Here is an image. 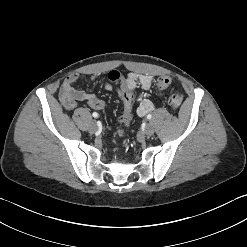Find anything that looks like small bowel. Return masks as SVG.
Returning <instances> with one entry per match:
<instances>
[{
    "mask_svg": "<svg viewBox=\"0 0 247 247\" xmlns=\"http://www.w3.org/2000/svg\"><path fill=\"white\" fill-rule=\"evenodd\" d=\"M80 76L76 73L70 74L65 78L60 88L59 96L66 109L72 110L77 102L85 101L91 108L101 110L104 108V102L94 94H88L83 90L75 88L73 85L79 80ZM95 79V77H92ZM125 81L131 86L133 94V107H135L138 116H144L154 108L153 102L149 99L147 92L151 88L152 78L145 74L130 73ZM108 90L112 89L110 82H105ZM142 90V93H138Z\"/></svg>",
    "mask_w": 247,
    "mask_h": 247,
    "instance_id": "small-bowel-1",
    "label": "small bowel"
}]
</instances>
